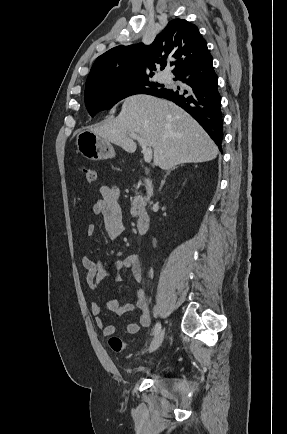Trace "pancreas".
I'll use <instances>...</instances> for the list:
<instances>
[{
    "label": "pancreas",
    "instance_id": "1",
    "mask_svg": "<svg viewBox=\"0 0 287 434\" xmlns=\"http://www.w3.org/2000/svg\"><path fill=\"white\" fill-rule=\"evenodd\" d=\"M147 199L140 194H136L134 200L131 203V215L133 217L139 216L145 211Z\"/></svg>",
    "mask_w": 287,
    "mask_h": 434
}]
</instances>
